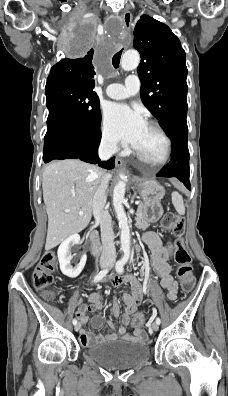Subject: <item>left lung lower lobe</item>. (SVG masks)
Returning a JSON list of instances; mask_svg holds the SVG:
<instances>
[{
    "label": "left lung lower lobe",
    "instance_id": "1",
    "mask_svg": "<svg viewBox=\"0 0 228 396\" xmlns=\"http://www.w3.org/2000/svg\"><path fill=\"white\" fill-rule=\"evenodd\" d=\"M186 116L187 111H180L163 127L166 135L172 140V155L170 162L157 174V177L178 178L190 190Z\"/></svg>",
    "mask_w": 228,
    "mask_h": 396
}]
</instances>
